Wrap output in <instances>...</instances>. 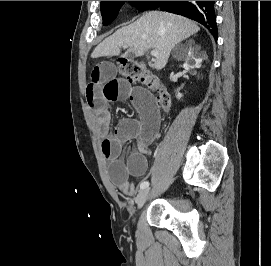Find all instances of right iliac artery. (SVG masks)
Returning <instances> with one entry per match:
<instances>
[{
	"label": "right iliac artery",
	"instance_id": "1",
	"mask_svg": "<svg viewBox=\"0 0 271 266\" xmlns=\"http://www.w3.org/2000/svg\"><path fill=\"white\" fill-rule=\"evenodd\" d=\"M149 187V182L148 181H142L140 183V189H146Z\"/></svg>",
	"mask_w": 271,
	"mask_h": 266
}]
</instances>
